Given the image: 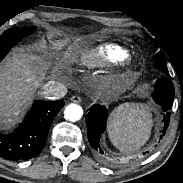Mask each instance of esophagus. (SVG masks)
I'll return each instance as SVG.
<instances>
[{
    "mask_svg": "<svg viewBox=\"0 0 183 183\" xmlns=\"http://www.w3.org/2000/svg\"><path fill=\"white\" fill-rule=\"evenodd\" d=\"M71 101L75 103H80L82 101V98L78 95L72 96Z\"/></svg>",
    "mask_w": 183,
    "mask_h": 183,
    "instance_id": "obj_1",
    "label": "esophagus"
}]
</instances>
